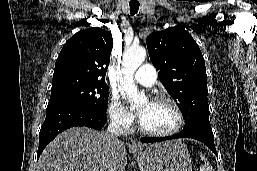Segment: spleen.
Masks as SVG:
<instances>
[{
  "label": "spleen",
  "mask_w": 257,
  "mask_h": 171,
  "mask_svg": "<svg viewBox=\"0 0 257 171\" xmlns=\"http://www.w3.org/2000/svg\"><path fill=\"white\" fill-rule=\"evenodd\" d=\"M201 160L203 161L200 171H214L212 165L208 162L207 158L200 153Z\"/></svg>",
  "instance_id": "3e777b00"
}]
</instances>
